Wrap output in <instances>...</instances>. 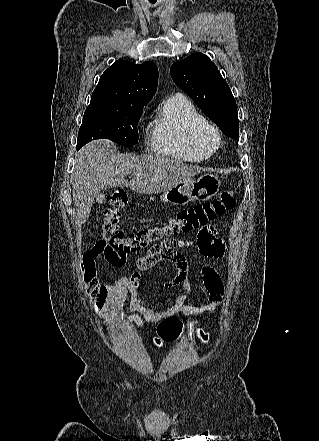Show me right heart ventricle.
<instances>
[{"instance_id": "obj_1", "label": "right heart ventricle", "mask_w": 319, "mask_h": 441, "mask_svg": "<svg viewBox=\"0 0 319 441\" xmlns=\"http://www.w3.org/2000/svg\"><path fill=\"white\" fill-rule=\"evenodd\" d=\"M209 126L207 118L191 101L181 95L172 96L150 123V147L159 155L188 162L204 161L215 151L202 137Z\"/></svg>"}]
</instances>
